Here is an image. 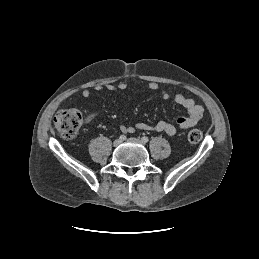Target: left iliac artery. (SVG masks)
Returning <instances> with one entry per match:
<instances>
[{"instance_id": "44dca946", "label": "left iliac artery", "mask_w": 259, "mask_h": 259, "mask_svg": "<svg viewBox=\"0 0 259 259\" xmlns=\"http://www.w3.org/2000/svg\"><path fill=\"white\" fill-rule=\"evenodd\" d=\"M149 141L148 137L144 136L142 137V142L143 143H147Z\"/></svg>"}]
</instances>
